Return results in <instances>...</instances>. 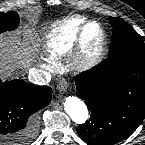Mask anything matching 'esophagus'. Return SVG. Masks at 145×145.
Returning a JSON list of instances; mask_svg holds the SVG:
<instances>
[{
    "mask_svg": "<svg viewBox=\"0 0 145 145\" xmlns=\"http://www.w3.org/2000/svg\"><path fill=\"white\" fill-rule=\"evenodd\" d=\"M68 88V83L65 80H62L58 83L57 89L59 92L64 93Z\"/></svg>",
    "mask_w": 145,
    "mask_h": 145,
    "instance_id": "obj_1",
    "label": "esophagus"
}]
</instances>
